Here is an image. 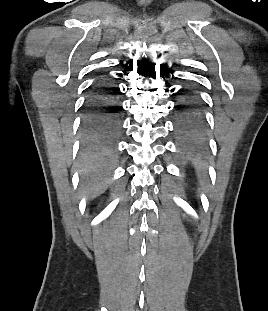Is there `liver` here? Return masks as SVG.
<instances>
[{"mask_svg": "<svg viewBox=\"0 0 268 311\" xmlns=\"http://www.w3.org/2000/svg\"><path fill=\"white\" fill-rule=\"evenodd\" d=\"M112 156L106 151H88L80 159V175L83 189L90 198L103 193L108 185L112 169Z\"/></svg>", "mask_w": 268, "mask_h": 311, "instance_id": "1", "label": "liver"}]
</instances>
